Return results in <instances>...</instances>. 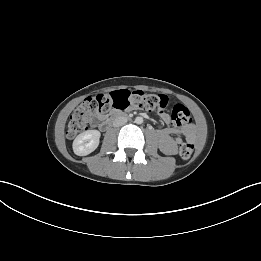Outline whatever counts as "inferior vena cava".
<instances>
[{"label": "inferior vena cava", "mask_w": 261, "mask_h": 261, "mask_svg": "<svg viewBox=\"0 0 261 261\" xmlns=\"http://www.w3.org/2000/svg\"><path fill=\"white\" fill-rule=\"evenodd\" d=\"M126 123H127V118L121 116V117H117V118L114 119L113 126L114 127H119V126H122V125H124Z\"/></svg>", "instance_id": "inferior-vena-cava-1"}]
</instances>
